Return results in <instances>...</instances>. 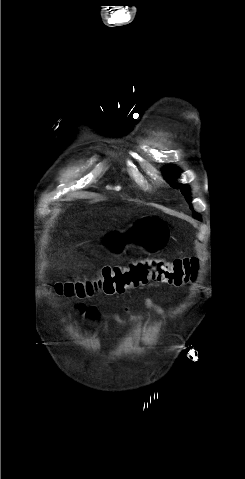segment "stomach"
Here are the masks:
<instances>
[{
	"label": "stomach",
	"instance_id": "1",
	"mask_svg": "<svg viewBox=\"0 0 245 479\" xmlns=\"http://www.w3.org/2000/svg\"><path fill=\"white\" fill-rule=\"evenodd\" d=\"M169 236V227L163 219L145 216L124 231L106 233L102 237V243L114 255L123 253L131 245L155 253L166 245Z\"/></svg>",
	"mask_w": 245,
	"mask_h": 479
}]
</instances>
